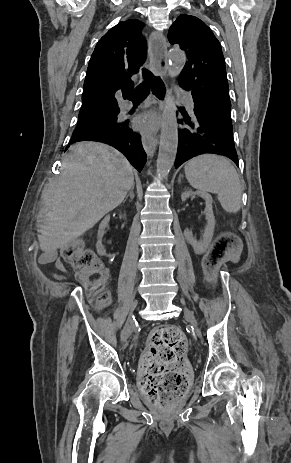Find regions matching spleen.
<instances>
[{"mask_svg":"<svg viewBox=\"0 0 291 463\" xmlns=\"http://www.w3.org/2000/svg\"><path fill=\"white\" fill-rule=\"evenodd\" d=\"M185 176L192 187L217 194L227 213L240 210L241 182L236 169L225 157L212 154L195 157L185 165Z\"/></svg>","mask_w":291,"mask_h":463,"instance_id":"spleen-1","label":"spleen"}]
</instances>
